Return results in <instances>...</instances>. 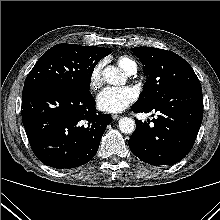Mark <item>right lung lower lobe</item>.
I'll return each instance as SVG.
<instances>
[{"instance_id": "98d812e1", "label": "right lung lower lobe", "mask_w": 220, "mask_h": 220, "mask_svg": "<svg viewBox=\"0 0 220 220\" xmlns=\"http://www.w3.org/2000/svg\"><path fill=\"white\" fill-rule=\"evenodd\" d=\"M21 113L36 157L59 169L89 162L111 122L110 114L96 112L89 91L54 84L24 86Z\"/></svg>"}]
</instances>
